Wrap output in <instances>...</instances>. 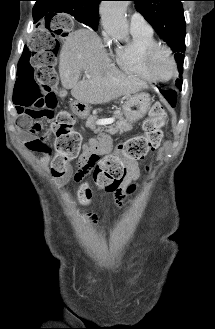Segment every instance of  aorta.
Masks as SVG:
<instances>
[{
  "mask_svg": "<svg viewBox=\"0 0 215 329\" xmlns=\"http://www.w3.org/2000/svg\"><path fill=\"white\" fill-rule=\"evenodd\" d=\"M128 1H103L100 16L103 28L114 38L124 40L128 37L126 9Z\"/></svg>",
  "mask_w": 215,
  "mask_h": 329,
  "instance_id": "obj_1",
  "label": "aorta"
}]
</instances>
